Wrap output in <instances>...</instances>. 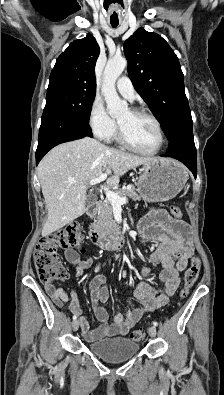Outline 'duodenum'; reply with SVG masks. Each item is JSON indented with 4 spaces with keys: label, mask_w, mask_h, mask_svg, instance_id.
Listing matches in <instances>:
<instances>
[{
    "label": "duodenum",
    "mask_w": 224,
    "mask_h": 395,
    "mask_svg": "<svg viewBox=\"0 0 224 395\" xmlns=\"http://www.w3.org/2000/svg\"><path fill=\"white\" fill-rule=\"evenodd\" d=\"M97 201L91 203L87 209V215L92 216L95 212ZM89 240L104 249L124 247L126 235L116 222L109 223L104 229H92L89 232Z\"/></svg>",
    "instance_id": "duodenum-1"
}]
</instances>
